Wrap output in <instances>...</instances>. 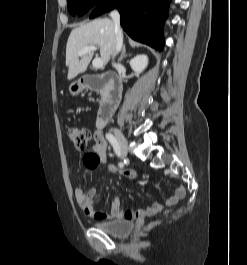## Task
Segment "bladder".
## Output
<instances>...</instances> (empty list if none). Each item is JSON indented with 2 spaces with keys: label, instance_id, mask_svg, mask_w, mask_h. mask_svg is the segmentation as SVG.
<instances>
[{
  "label": "bladder",
  "instance_id": "bladder-1",
  "mask_svg": "<svg viewBox=\"0 0 247 265\" xmlns=\"http://www.w3.org/2000/svg\"><path fill=\"white\" fill-rule=\"evenodd\" d=\"M94 227L115 237L129 235L133 230V223L128 219L94 222Z\"/></svg>",
  "mask_w": 247,
  "mask_h": 265
}]
</instances>
